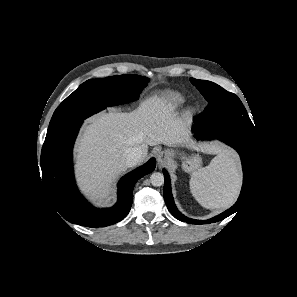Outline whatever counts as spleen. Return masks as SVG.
I'll list each match as a JSON object with an SVG mask.
<instances>
[{
  "label": "spleen",
  "mask_w": 297,
  "mask_h": 297,
  "mask_svg": "<svg viewBox=\"0 0 297 297\" xmlns=\"http://www.w3.org/2000/svg\"><path fill=\"white\" fill-rule=\"evenodd\" d=\"M239 187V166L231 152L219 154L208 166L195 171L190 178L192 195L208 209L231 205Z\"/></svg>",
  "instance_id": "3e777b00"
}]
</instances>
